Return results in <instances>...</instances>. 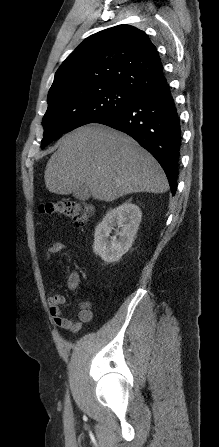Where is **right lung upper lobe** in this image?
<instances>
[{
    "label": "right lung upper lobe",
    "mask_w": 219,
    "mask_h": 447,
    "mask_svg": "<svg viewBox=\"0 0 219 447\" xmlns=\"http://www.w3.org/2000/svg\"><path fill=\"white\" fill-rule=\"evenodd\" d=\"M165 82L158 51L147 34L124 24L85 39L59 67L48 94L113 85L138 97Z\"/></svg>",
    "instance_id": "cb5924a9"
}]
</instances>
